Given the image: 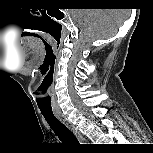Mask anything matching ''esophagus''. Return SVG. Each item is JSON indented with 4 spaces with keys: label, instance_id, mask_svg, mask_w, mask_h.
Returning <instances> with one entry per match:
<instances>
[{
    "label": "esophagus",
    "instance_id": "esophagus-1",
    "mask_svg": "<svg viewBox=\"0 0 153 153\" xmlns=\"http://www.w3.org/2000/svg\"><path fill=\"white\" fill-rule=\"evenodd\" d=\"M55 115L65 126H67L73 132V134L76 136V138L81 144H84L87 142L86 138L62 113L56 112Z\"/></svg>",
    "mask_w": 153,
    "mask_h": 153
}]
</instances>
